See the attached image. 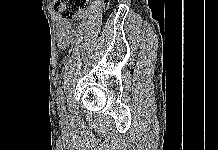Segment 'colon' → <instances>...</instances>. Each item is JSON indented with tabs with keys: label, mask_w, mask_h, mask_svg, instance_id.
<instances>
[{
	"label": "colon",
	"mask_w": 218,
	"mask_h": 150,
	"mask_svg": "<svg viewBox=\"0 0 218 150\" xmlns=\"http://www.w3.org/2000/svg\"><path fill=\"white\" fill-rule=\"evenodd\" d=\"M108 0L104 1L105 5H108ZM87 0H57L55 3V9L67 20L78 19L85 6Z\"/></svg>",
	"instance_id": "1"
}]
</instances>
